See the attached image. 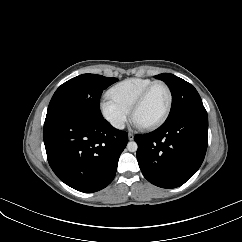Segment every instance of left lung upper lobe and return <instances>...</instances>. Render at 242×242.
<instances>
[{"label": "left lung upper lobe", "instance_id": "1", "mask_svg": "<svg viewBox=\"0 0 242 242\" xmlns=\"http://www.w3.org/2000/svg\"><path fill=\"white\" fill-rule=\"evenodd\" d=\"M155 78L163 80L172 93V106L167 120L188 110L204 108L198 92L190 83L168 73L156 75Z\"/></svg>", "mask_w": 242, "mask_h": 242}]
</instances>
